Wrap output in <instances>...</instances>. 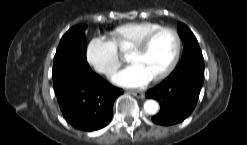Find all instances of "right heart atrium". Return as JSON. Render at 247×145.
<instances>
[{
	"mask_svg": "<svg viewBox=\"0 0 247 145\" xmlns=\"http://www.w3.org/2000/svg\"><path fill=\"white\" fill-rule=\"evenodd\" d=\"M86 58L96 71L110 76L120 66V57L115 45L102 36L91 39L87 46Z\"/></svg>",
	"mask_w": 247,
	"mask_h": 145,
	"instance_id": "obj_1",
	"label": "right heart atrium"
}]
</instances>
